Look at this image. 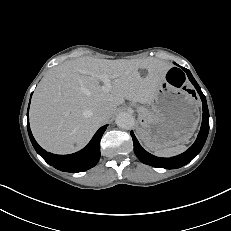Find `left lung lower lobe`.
<instances>
[{"label":"left lung lower lobe","instance_id":"obj_1","mask_svg":"<svg viewBox=\"0 0 231 231\" xmlns=\"http://www.w3.org/2000/svg\"><path fill=\"white\" fill-rule=\"evenodd\" d=\"M188 78L192 82V84L195 86L197 92L199 93L202 104H203V120H202V125L200 132L198 134V137L194 144L184 153L171 157V158H160L156 157L154 155H151L147 151H145L141 145L139 144L138 140L136 139L133 131H131V136L133 139V144H134V152L138 159L143 162L144 164L157 167V168H165V169H176L180 168L186 164H188L203 148L205 141L208 136L209 132V112H208V107H207V102L204 94L201 91V88L193 78L192 74L187 71Z\"/></svg>","mask_w":231,"mask_h":231}]
</instances>
